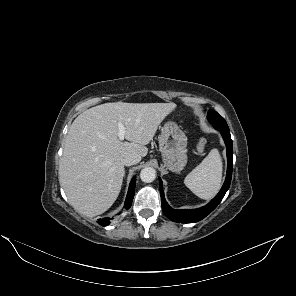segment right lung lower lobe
Instances as JSON below:
<instances>
[{
    "instance_id": "obj_1",
    "label": "right lung lower lobe",
    "mask_w": 296,
    "mask_h": 296,
    "mask_svg": "<svg viewBox=\"0 0 296 296\" xmlns=\"http://www.w3.org/2000/svg\"><path fill=\"white\" fill-rule=\"evenodd\" d=\"M135 184H136V177H134L130 183V186H129V190H128V194H127V198H126V201H125V208L126 209H129L131 204H132V200H133V197H134V193H135ZM110 218H104V219H99L98 220V223L102 226H107L109 223H110Z\"/></svg>"
}]
</instances>
